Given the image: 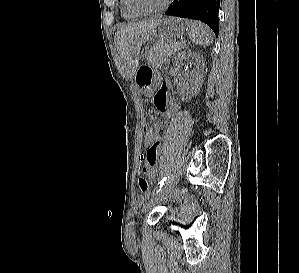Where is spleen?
<instances>
[{
    "instance_id": "spleen-1",
    "label": "spleen",
    "mask_w": 299,
    "mask_h": 273,
    "mask_svg": "<svg viewBox=\"0 0 299 273\" xmlns=\"http://www.w3.org/2000/svg\"><path fill=\"white\" fill-rule=\"evenodd\" d=\"M186 24V31L190 37V39L202 46H209L213 41V34L211 29L201 23L199 21L187 20Z\"/></svg>"
}]
</instances>
